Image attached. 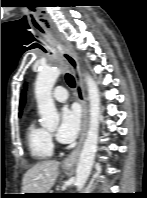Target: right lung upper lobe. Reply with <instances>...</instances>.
I'll return each instance as SVG.
<instances>
[{"label": "right lung upper lobe", "mask_w": 147, "mask_h": 198, "mask_svg": "<svg viewBox=\"0 0 147 198\" xmlns=\"http://www.w3.org/2000/svg\"><path fill=\"white\" fill-rule=\"evenodd\" d=\"M24 103H25V93L23 92L21 94V99H20V107H19L20 110H22ZM19 115H21V113Z\"/></svg>", "instance_id": "obj_1"}]
</instances>
